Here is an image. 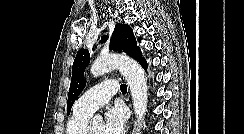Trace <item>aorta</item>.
<instances>
[{"instance_id": "1", "label": "aorta", "mask_w": 244, "mask_h": 134, "mask_svg": "<svg viewBox=\"0 0 244 134\" xmlns=\"http://www.w3.org/2000/svg\"><path fill=\"white\" fill-rule=\"evenodd\" d=\"M113 69H119L130 88L134 112L137 118L133 134H139L148 102V87L144 71L133 59L113 54L97 58L91 65L90 72L94 77H98ZM95 118L101 119L100 116Z\"/></svg>"}]
</instances>
